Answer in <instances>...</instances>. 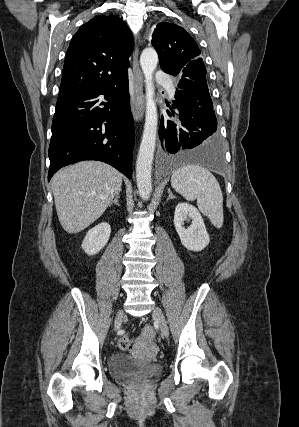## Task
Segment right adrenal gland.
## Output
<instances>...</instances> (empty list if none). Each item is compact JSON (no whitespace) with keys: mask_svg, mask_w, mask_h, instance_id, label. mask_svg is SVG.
<instances>
[{"mask_svg":"<svg viewBox=\"0 0 299 427\" xmlns=\"http://www.w3.org/2000/svg\"><path fill=\"white\" fill-rule=\"evenodd\" d=\"M119 193L120 192H118L117 194H116V196L114 197V199L111 201V203H110V205L109 206H111L112 204H116V205H118V206H120V204H119Z\"/></svg>","mask_w":299,"mask_h":427,"instance_id":"obj_1","label":"right adrenal gland"}]
</instances>
